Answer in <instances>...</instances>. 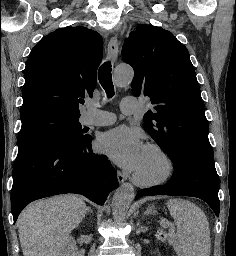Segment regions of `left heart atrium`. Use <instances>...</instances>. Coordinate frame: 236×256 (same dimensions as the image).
I'll list each match as a JSON object with an SVG mask.
<instances>
[{
  "label": "left heart atrium",
  "mask_w": 236,
  "mask_h": 256,
  "mask_svg": "<svg viewBox=\"0 0 236 256\" xmlns=\"http://www.w3.org/2000/svg\"><path fill=\"white\" fill-rule=\"evenodd\" d=\"M99 147L113 163L129 171L136 170L146 148L139 131L127 127L102 135Z\"/></svg>",
  "instance_id": "39dd6f15"
}]
</instances>
